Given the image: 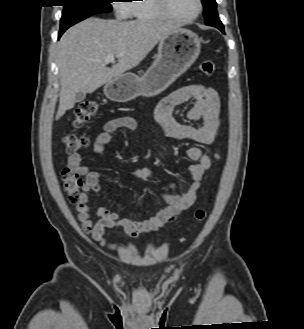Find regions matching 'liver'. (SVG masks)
Instances as JSON below:
<instances>
[{"instance_id":"liver-1","label":"liver","mask_w":304,"mask_h":329,"mask_svg":"<svg viewBox=\"0 0 304 329\" xmlns=\"http://www.w3.org/2000/svg\"><path fill=\"white\" fill-rule=\"evenodd\" d=\"M178 28L171 22L99 18H89L69 28L57 49L61 90L56 119L74 107L77 92L92 93L119 78ZM109 54L118 56V62L111 68L104 62Z\"/></svg>"}]
</instances>
